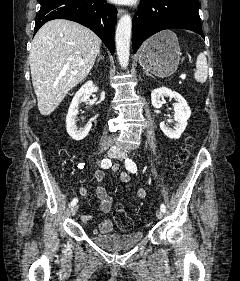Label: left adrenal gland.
<instances>
[{"mask_svg":"<svg viewBox=\"0 0 240 281\" xmlns=\"http://www.w3.org/2000/svg\"><path fill=\"white\" fill-rule=\"evenodd\" d=\"M147 76H150V77H152V78H155L153 75H151V74H149L148 72H144Z\"/></svg>","mask_w":240,"mask_h":281,"instance_id":"1","label":"left adrenal gland"}]
</instances>
